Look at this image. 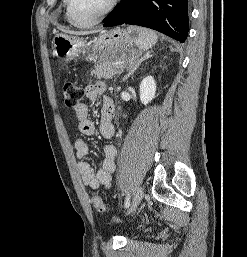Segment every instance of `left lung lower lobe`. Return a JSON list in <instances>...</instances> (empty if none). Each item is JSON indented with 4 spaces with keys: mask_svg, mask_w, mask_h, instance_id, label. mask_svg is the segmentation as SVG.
Returning a JSON list of instances; mask_svg holds the SVG:
<instances>
[{
    "mask_svg": "<svg viewBox=\"0 0 247 257\" xmlns=\"http://www.w3.org/2000/svg\"><path fill=\"white\" fill-rule=\"evenodd\" d=\"M134 24L157 30L183 43L188 35V0H122L104 27Z\"/></svg>",
    "mask_w": 247,
    "mask_h": 257,
    "instance_id": "0a47b994",
    "label": "left lung lower lobe"
}]
</instances>
